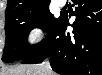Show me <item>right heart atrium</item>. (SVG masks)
Segmentation results:
<instances>
[{"label":"right heart atrium","mask_w":102,"mask_h":75,"mask_svg":"<svg viewBox=\"0 0 102 75\" xmlns=\"http://www.w3.org/2000/svg\"><path fill=\"white\" fill-rule=\"evenodd\" d=\"M45 35L44 27L38 23L32 24L26 31L25 43L27 46H32L40 42Z\"/></svg>","instance_id":"right-heart-atrium-1"}]
</instances>
